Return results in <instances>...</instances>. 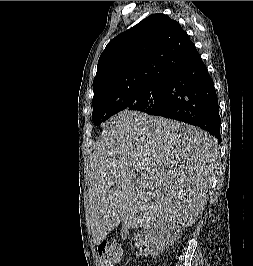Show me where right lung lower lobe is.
<instances>
[{"instance_id":"right-lung-lower-lobe-1","label":"right lung lower lobe","mask_w":253,"mask_h":266,"mask_svg":"<svg viewBox=\"0 0 253 266\" xmlns=\"http://www.w3.org/2000/svg\"><path fill=\"white\" fill-rule=\"evenodd\" d=\"M152 115L201 127L221 143L218 98L200 56L167 79L162 108Z\"/></svg>"}]
</instances>
